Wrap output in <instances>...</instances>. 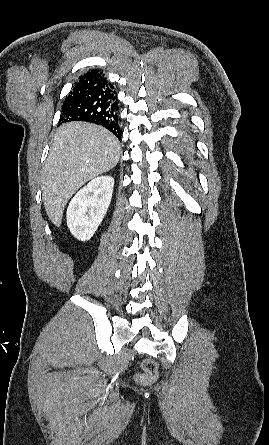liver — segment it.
<instances>
[{"label":"liver","instance_id":"obj_1","mask_svg":"<svg viewBox=\"0 0 269 445\" xmlns=\"http://www.w3.org/2000/svg\"><path fill=\"white\" fill-rule=\"evenodd\" d=\"M120 154L117 138L101 126L69 122L57 129L41 175L44 208L55 226L73 194L114 168Z\"/></svg>","mask_w":269,"mask_h":445}]
</instances>
